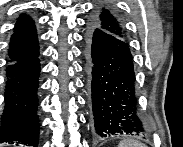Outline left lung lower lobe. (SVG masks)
Segmentation results:
<instances>
[{"label":"left lung lower lobe","mask_w":183,"mask_h":147,"mask_svg":"<svg viewBox=\"0 0 183 147\" xmlns=\"http://www.w3.org/2000/svg\"><path fill=\"white\" fill-rule=\"evenodd\" d=\"M85 54L96 135H146L148 128L137 112L133 61L125 40L91 25Z\"/></svg>","instance_id":"obj_1"}]
</instances>
